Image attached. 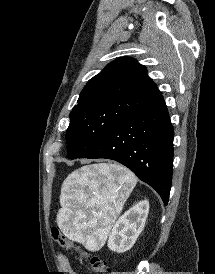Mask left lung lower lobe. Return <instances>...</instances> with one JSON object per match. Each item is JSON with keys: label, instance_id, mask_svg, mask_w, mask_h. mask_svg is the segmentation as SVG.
Returning a JSON list of instances; mask_svg holds the SVG:
<instances>
[{"label": "left lung lower lobe", "instance_id": "left-lung-lower-lobe-1", "mask_svg": "<svg viewBox=\"0 0 215 274\" xmlns=\"http://www.w3.org/2000/svg\"><path fill=\"white\" fill-rule=\"evenodd\" d=\"M173 127L163 97L119 123L82 158L117 161L153 187L168 204L172 181Z\"/></svg>", "mask_w": 215, "mask_h": 274}]
</instances>
